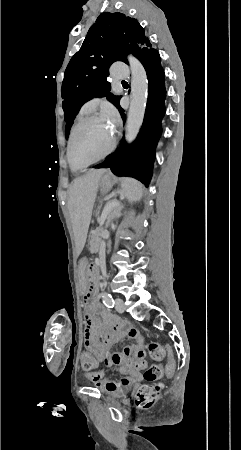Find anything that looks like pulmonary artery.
<instances>
[{
	"instance_id": "1",
	"label": "pulmonary artery",
	"mask_w": 241,
	"mask_h": 450,
	"mask_svg": "<svg viewBox=\"0 0 241 450\" xmlns=\"http://www.w3.org/2000/svg\"><path fill=\"white\" fill-rule=\"evenodd\" d=\"M108 78H117L118 80H129L130 72L126 71L125 64H111L110 69L107 70Z\"/></svg>"
}]
</instances>
